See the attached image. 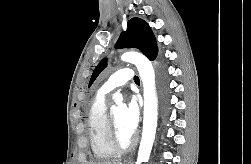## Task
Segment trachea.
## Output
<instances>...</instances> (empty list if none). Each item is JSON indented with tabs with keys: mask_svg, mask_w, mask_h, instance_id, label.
I'll return each mask as SVG.
<instances>
[{
	"mask_svg": "<svg viewBox=\"0 0 251 164\" xmlns=\"http://www.w3.org/2000/svg\"><path fill=\"white\" fill-rule=\"evenodd\" d=\"M134 81H135V82H139V77H138V76H135V77H134Z\"/></svg>",
	"mask_w": 251,
	"mask_h": 164,
	"instance_id": "trachea-1",
	"label": "trachea"
}]
</instances>
